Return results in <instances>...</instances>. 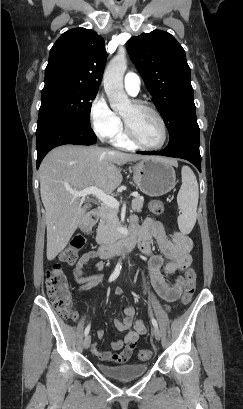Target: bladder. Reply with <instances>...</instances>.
<instances>
[{"label":"bladder","instance_id":"obj_1","mask_svg":"<svg viewBox=\"0 0 243 409\" xmlns=\"http://www.w3.org/2000/svg\"><path fill=\"white\" fill-rule=\"evenodd\" d=\"M96 367L102 375L119 381H128L142 377L148 371L147 364L138 363L111 366L98 362Z\"/></svg>","mask_w":243,"mask_h":409}]
</instances>
